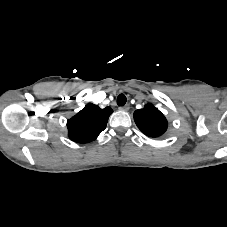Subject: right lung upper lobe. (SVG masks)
Segmentation results:
<instances>
[{"label":"right lung upper lobe","mask_w":227,"mask_h":227,"mask_svg":"<svg viewBox=\"0 0 227 227\" xmlns=\"http://www.w3.org/2000/svg\"><path fill=\"white\" fill-rule=\"evenodd\" d=\"M112 112L113 110L110 107L101 109L92 103L87 104L68 120L69 138L77 143H88L95 140L106 128L108 118Z\"/></svg>","instance_id":"right-lung-upper-lobe-1"}]
</instances>
